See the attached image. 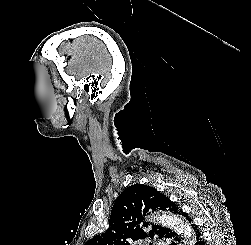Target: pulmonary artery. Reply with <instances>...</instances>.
<instances>
[{"label": "pulmonary artery", "instance_id": "1", "mask_svg": "<svg viewBox=\"0 0 251 245\" xmlns=\"http://www.w3.org/2000/svg\"><path fill=\"white\" fill-rule=\"evenodd\" d=\"M159 245H166V243L165 242H161V243H159Z\"/></svg>", "mask_w": 251, "mask_h": 245}]
</instances>
